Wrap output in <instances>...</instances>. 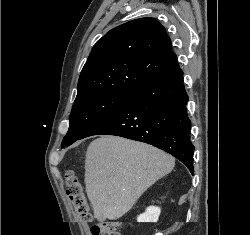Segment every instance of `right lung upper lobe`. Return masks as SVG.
<instances>
[{
	"mask_svg": "<svg viewBox=\"0 0 250 235\" xmlns=\"http://www.w3.org/2000/svg\"><path fill=\"white\" fill-rule=\"evenodd\" d=\"M174 56L165 28L154 18L117 26L92 48L76 99L96 92L134 93L164 71Z\"/></svg>",
	"mask_w": 250,
	"mask_h": 235,
	"instance_id": "cb5924a9",
	"label": "right lung upper lobe"
}]
</instances>
